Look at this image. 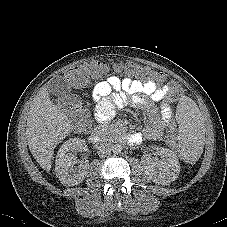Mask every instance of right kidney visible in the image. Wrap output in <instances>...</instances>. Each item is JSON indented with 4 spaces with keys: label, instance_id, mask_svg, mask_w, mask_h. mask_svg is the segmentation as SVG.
Here are the masks:
<instances>
[{
    "label": "right kidney",
    "instance_id": "obj_1",
    "mask_svg": "<svg viewBox=\"0 0 227 227\" xmlns=\"http://www.w3.org/2000/svg\"><path fill=\"white\" fill-rule=\"evenodd\" d=\"M84 145V139L71 138L60 147L55 160V173L62 184L78 185L86 177L89 163L79 161L76 157V153L82 151ZM77 163L80 164L75 166Z\"/></svg>",
    "mask_w": 227,
    "mask_h": 227
}]
</instances>
